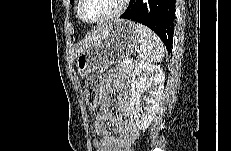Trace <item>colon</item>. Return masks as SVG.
Wrapping results in <instances>:
<instances>
[{"label": "colon", "instance_id": "obj_1", "mask_svg": "<svg viewBox=\"0 0 231 151\" xmlns=\"http://www.w3.org/2000/svg\"><path fill=\"white\" fill-rule=\"evenodd\" d=\"M85 97L90 108L92 110H96L98 107L97 89H96V82L92 77H89L86 80ZM98 151H105V149L103 147H98Z\"/></svg>", "mask_w": 231, "mask_h": 151}]
</instances>
